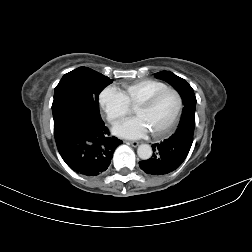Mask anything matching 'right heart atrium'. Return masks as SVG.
I'll list each match as a JSON object with an SVG mask.
<instances>
[{
    "mask_svg": "<svg viewBox=\"0 0 252 252\" xmlns=\"http://www.w3.org/2000/svg\"><path fill=\"white\" fill-rule=\"evenodd\" d=\"M99 103L107 120L112 124L121 121L130 110V104L124 94L114 87H107L100 93Z\"/></svg>",
    "mask_w": 252,
    "mask_h": 252,
    "instance_id": "1",
    "label": "right heart atrium"
}]
</instances>
